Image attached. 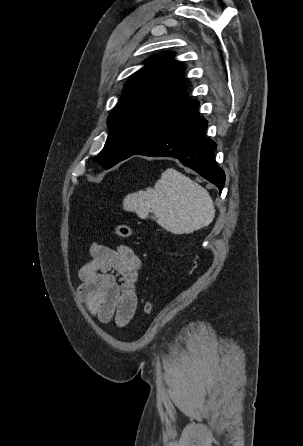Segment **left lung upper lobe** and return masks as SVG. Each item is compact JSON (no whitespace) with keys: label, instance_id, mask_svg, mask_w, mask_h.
Listing matches in <instances>:
<instances>
[{"label":"left lung upper lobe","instance_id":"5c2ea615","mask_svg":"<svg viewBox=\"0 0 303 446\" xmlns=\"http://www.w3.org/2000/svg\"><path fill=\"white\" fill-rule=\"evenodd\" d=\"M166 52L146 60L124 85L123 96L108 117L110 132L94 160L109 169L125 157L172 132L198 101L187 97L185 67Z\"/></svg>","mask_w":303,"mask_h":446}]
</instances>
